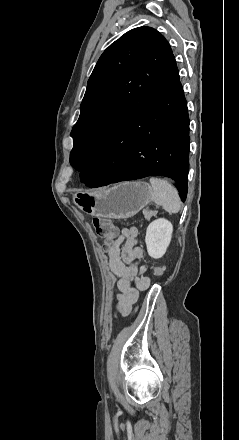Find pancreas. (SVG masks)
Here are the masks:
<instances>
[{
    "mask_svg": "<svg viewBox=\"0 0 239 440\" xmlns=\"http://www.w3.org/2000/svg\"><path fill=\"white\" fill-rule=\"evenodd\" d=\"M145 220H151L152 216H155L156 212H148V210H143Z\"/></svg>",
    "mask_w": 239,
    "mask_h": 440,
    "instance_id": "obj_1",
    "label": "pancreas"
}]
</instances>
